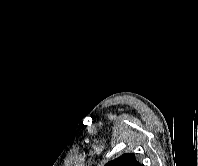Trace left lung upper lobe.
I'll return each instance as SVG.
<instances>
[{
	"label": "left lung upper lobe",
	"mask_w": 198,
	"mask_h": 166,
	"mask_svg": "<svg viewBox=\"0 0 198 166\" xmlns=\"http://www.w3.org/2000/svg\"><path fill=\"white\" fill-rule=\"evenodd\" d=\"M105 166H142L137 160L134 154L128 153L112 160Z\"/></svg>",
	"instance_id": "1"
}]
</instances>
